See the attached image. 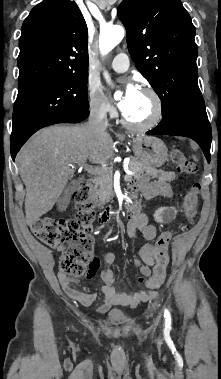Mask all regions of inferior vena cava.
Masks as SVG:
<instances>
[{
    "instance_id": "602c4592",
    "label": "inferior vena cava",
    "mask_w": 221,
    "mask_h": 379,
    "mask_svg": "<svg viewBox=\"0 0 221 379\" xmlns=\"http://www.w3.org/2000/svg\"><path fill=\"white\" fill-rule=\"evenodd\" d=\"M107 127V109L102 105H93L85 128L97 133L106 131Z\"/></svg>"
}]
</instances>
